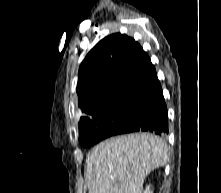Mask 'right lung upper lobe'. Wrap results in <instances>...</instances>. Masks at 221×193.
Wrapping results in <instances>:
<instances>
[{"mask_svg":"<svg viewBox=\"0 0 221 193\" xmlns=\"http://www.w3.org/2000/svg\"><path fill=\"white\" fill-rule=\"evenodd\" d=\"M160 82L147 53L133 39L112 34L95 45L79 68L80 120L121 99L149 100Z\"/></svg>","mask_w":221,"mask_h":193,"instance_id":"obj_1","label":"right lung upper lobe"}]
</instances>
